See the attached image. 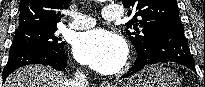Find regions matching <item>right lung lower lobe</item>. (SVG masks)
<instances>
[{"label":"right lung lower lobe","instance_id":"98d812e1","mask_svg":"<svg viewBox=\"0 0 205 87\" xmlns=\"http://www.w3.org/2000/svg\"><path fill=\"white\" fill-rule=\"evenodd\" d=\"M28 64L50 65L61 71L67 65V57L63 49L55 51L36 45L11 46L7 65L2 73L3 82L10 73Z\"/></svg>","mask_w":205,"mask_h":87}]
</instances>
